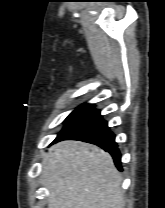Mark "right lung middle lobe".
<instances>
[{
  "label": "right lung middle lobe",
  "mask_w": 165,
  "mask_h": 208,
  "mask_svg": "<svg viewBox=\"0 0 165 208\" xmlns=\"http://www.w3.org/2000/svg\"><path fill=\"white\" fill-rule=\"evenodd\" d=\"M92 111L91 108L86 107H78L76 110H74L66 119H65V126L63 130L59 133L58 136H60L64 131H66L69 127H71L74 123H76L79 119H81L83 116L87 115Z\"/></svg>",
  "instance_id": "obj_1"
}]
</instances>
